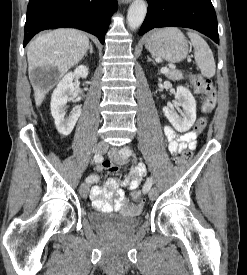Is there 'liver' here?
Returning <instances> with one entry per match:
<instances>
[{"mask_svg": "<svg viewBox=\"0 0 247 275\" xmlns=\"http://www.w3.org/2000/svg\"><path fill=\"white\" fill-rule=\"evenodd\" d=\"M88 49L87 35L76 29L61 28L40 34L27 48L29 74L37 67L51 66L62 76L82 60ZM51 87L33 85L37 106L41 105Z\"/></svg>", "mask_w": 247, "mask_h": 275, "instance_id": "obj_1", "label": "liver"}]
</instances>
